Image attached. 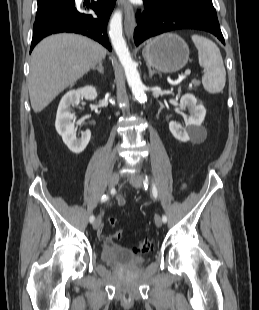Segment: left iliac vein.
<instances>
[{
  "instance_id": "obj_1",
  "label": "left iliac vein",
  "mask_w": 259,
  "mask_h": 310,
  "mask_svg": "<svg viewBox=\"0 0 259 310\" xmlns=\"http://www.w3.org/2000/svg\"><path fill=\"white\" fill-rule=\"evenodd\" d=\"M130 183L135 188H141L142 184H143V177L140 175H132L130 177ZM154 221H155V224L157 227L162 226V220H161L159 215H157V214L155 215Z\"/></svg>"
}]
</instances>
